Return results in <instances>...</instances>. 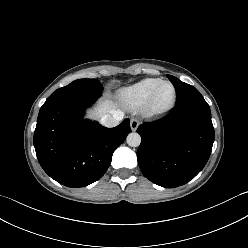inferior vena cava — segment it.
Returning <instances> with one entry per match:
<instances>
[{
    "label": "inferior vena cava",
    "mask_w": 248,
    "mask_h": 248,
    "mask_svg": "<svg viewBox=\"0 0 248 248\" xmlns=\"http://www.w3.org/2000/svg\"><path fill=\"white\" fill-rule=\"evenodd\" d=\"M124 113L122 111L114 110L111 114H106L101 117L100 123L105 127H115L123 119Z\"/></svg>",
    "instance_id": "inferior-vena-cava-1"
}]
</instances>
